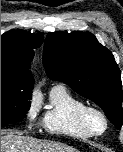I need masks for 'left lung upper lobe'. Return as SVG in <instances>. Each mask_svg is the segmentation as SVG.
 Returning a JSON list of instances; mask_svg holds the SVG:
<instances>
[{
  "mask_svg": "<svg viewBox=\"0 0 123 152\" xmlns=\"http://www.w3.org/2000/svg\"><path fill=\"white\" fill-rule=\"evenodd\" d=\"M43 65L50 79L65 82L78 94L98 104L116 128L121 129V72L112 53L93 34L48 33Z\"/></svg>",
  "mask_w": 123,
  "mask_h": 152,
  "instance_id": "obj_1",
  "label": "left lung upper lobe"
}]
</instances>
